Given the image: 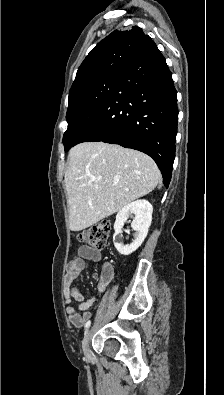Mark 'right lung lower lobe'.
I'll list each match as a JSON object with an SVG mask.
<instances>
[{
    "instance_id": "obj_1",
    "label": "right lung lower lobe",
    "mask_w": 224,
    "mask_h": 395,
    "mask_svg": "<svg viewBox=\"0 0 224 395\" xmlns=\"http://www.w3.org/2000/svg\"><path fill=\"white\" fill-rule=\"evenodd\" d=\"M177 119L172 74L154 41L147 37L74 145L103 141L144 152L154 159L168 187L175 158Z\"/></svg>"
}]
</instances>
